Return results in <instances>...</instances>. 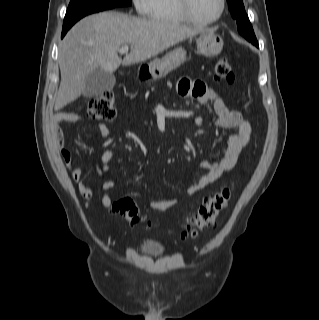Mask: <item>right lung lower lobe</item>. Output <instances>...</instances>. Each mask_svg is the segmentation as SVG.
Wrapping results in <instances>:
<instances>
[{"mask_svg":"<svg viewBox=\"0 0 319 320\" xmlns=\"http://www.w3.org/2000/svg\"><path fill=\"white\" fill-rule=\"evenodd\" d=\"M69 29H70V28H68V29H62L61 38L64 37V35L67 33V31H68Z\"/></svg>","mask_w":319,"mask_h":320,"instance_id":"1","label":"right lung lower lobe"}]
</instances>
